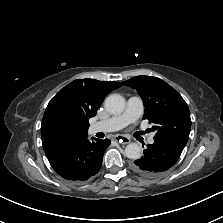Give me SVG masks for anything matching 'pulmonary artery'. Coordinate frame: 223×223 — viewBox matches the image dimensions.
<instances>
[{"mask_svg":"<svg viewBox=\"0 0 223 223\" xmlns=\"http://www.w3.org/2000/svg\"><path fill=\"white\" fill-rule=\"evenodd\" d=\"M143 109L144 106L142 99L137 96H132L127 100L126 108L123 113L95 122L91 124L89 130L92 134L120 130L128 124L136 122L142 115ZM147 142L149 144H153V136H150L147 139Z\"/></svg>","mask_w":223,"mask_h":223,"instance_id":"obj_1","label":"pulmonary artery"}]
</instances>
